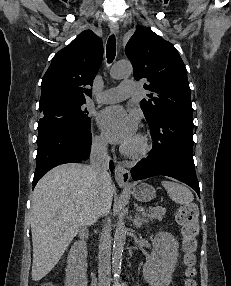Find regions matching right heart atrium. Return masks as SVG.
I'll list each match as a JSON object with an SVG mask.
<instances>
[{
    "mask_svg": "<svg viewBox=\"0 0 231 286\" xmlns=\"http://www.w3.org/2000/svg\"><path fill=\"white\" fill-rule=\"evenodd\" d=\"M93 145L98 150H105L107 147V140L102 134H98L93 139Z\"/></svg>",
    "mask_w": 231,
    "mask_h": 286,
    "instance_id": "1",
    "label": "right heart atrium"
}]
</instances>
